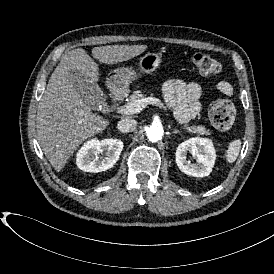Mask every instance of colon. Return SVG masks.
Returning <instances> with one entry per match:
<instances>
[{"label":"colon","mask_w":274,"mask_h":274,"mask_svg":"<svg viewBox=\"0 0 274 274\" xmlns=\"http://www.w3.org/2000/svg\"><path fill=\"white\" fill-rule=\"evenodd\" d=\"M193 63L197 71L205 76H216L221 73L220 62L206 53H196ZM236 107L233 102L221 99L213 102L208 111V117L213 127L219 131H229L236 121Z\"/></svg>","instance_id":"5ec220e1"}]
</instances>
